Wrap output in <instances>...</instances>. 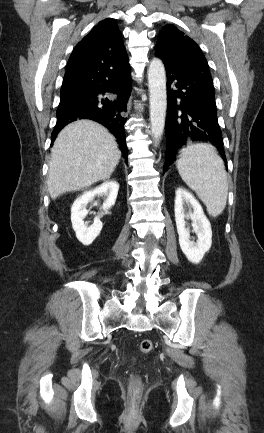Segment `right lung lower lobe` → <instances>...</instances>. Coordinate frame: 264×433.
I'll return each instance as SVG.
<instances>
[{"instance_id": "98d812e1", "label": "right lung lower lobe", "mask_w": 264, "mask_h": 433, "mask_svg": "<svg viewBox=\"0 0 264 433\" xmlns=\"http://www.w3.org/2000/svg\"><path fill=\"white\" fill-rule=\"evenodd\" d=\"M131 92L129 63L119 66H96L66 71L61 87L57 123L52 141L67 124L90 119L107 127L116 137L127 158L123 112ZM105 93L111 97H105Z\"/></svg>"}]
</instances>
